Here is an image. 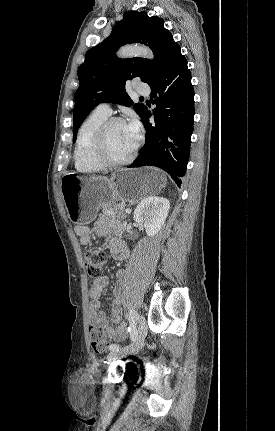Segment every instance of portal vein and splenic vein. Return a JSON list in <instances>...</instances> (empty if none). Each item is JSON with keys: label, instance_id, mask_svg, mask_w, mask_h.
<instances>
[{"label": "portal vein and splenic vein", "instance_id": "obj_1", "mask_svg": "<svg viewBox=\"0 0 275 431\" xmlns=\"http://www.w3.org/2000/svg\"><path fill=\"white\" fill-rule=\"evenodd\" d=\"M124 211H125V213H127V214H130V213H131V209H129V208H126Z\"/></svg>", "mask_w": 275, "mask_h": 431}]
</instances>
